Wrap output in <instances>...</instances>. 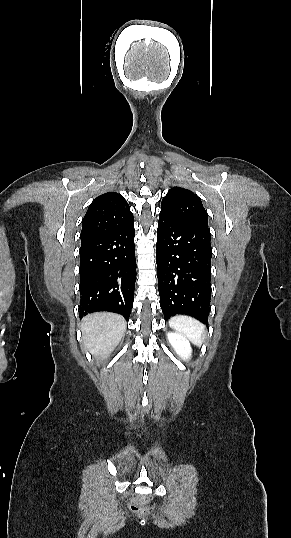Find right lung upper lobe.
Instances as JSON below:
<instances>
[{"label":"right lung upper lobe","instance_id":"1","mask_svg":"<svg viewBox=\"0 0 291 538\" xmlns=\"http://www.w3.org/2000/svg\"><path fill=\"white\" fill-rule=\"evenodd\" d=\"M132 222L133 214L122 195L102 194L89 205L83 218L81 242L117 231Z\"/></svg>","mask_w":291,"mask_h":538}]
</instances>
